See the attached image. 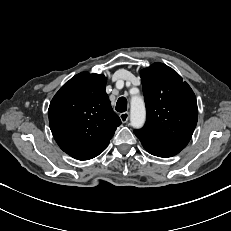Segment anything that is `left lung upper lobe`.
<instances>
[{
	"instance_id": "left-lung-upper-lobe-1",
	"label": "left lung upper lobe",
	"mask_w": 231,
	"mask_h": 231,
	"mask_svg": "<svg viewBox=\"0 0 231 231\" xmlns=\"http://www.w3.org/2000/svg\"><path fill=\"white\" fill-rule=\"evenodd\" d=\"M146 103L145 126L136 136L179 153L197 124L196 97L182 77L162 63L140 72Z\"/></svg>"
}]
</instances>
